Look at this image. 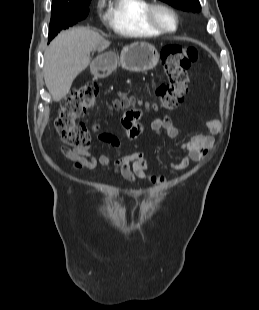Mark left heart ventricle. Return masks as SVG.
I'll use <instances>...</instances> for the list:
<instances>
[{
  "label": "left heart ventricle",
  "instance_id": "obj_1",
  "mask_svg": "<svg viewBox=\"0 0 259 310\" xmlns=\"http://www.w3.org/2000/svg\"><path fill=\"white\" fill-rule=\"evenodd\" d=\"M157 19L158 21L167 28H173L174 27V20L173 17L165 12V11H158L157 12Z\"/></svg>",
  "mask_w": 259,
  "mask_h": 310
}]
</instances>
